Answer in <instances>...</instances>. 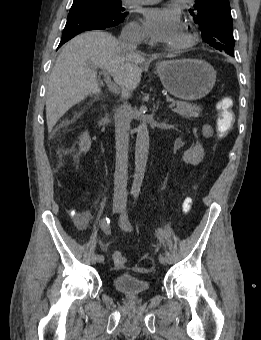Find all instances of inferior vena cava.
I'll use <instances>...</instances> for the list:
<instances>
[{
    "label": "inferior vena cava",
    "instance_id": "602c4592",
    "mask_svg": "<svg viewBox=\"0 0 261 340\" xmlns=\"http://www.w3.org/2000/svg\"><path fill=\"white\" fill-rule=\"evenodd\" d=\"M141 42V36L130 30L122 31L119 43L124 51H134ZM128 95L122 90V99ZM130 129V105L124 101L115 111L116 166L114 174V198L126 199L128 174V143Z\"/></svg>",
    "mask_w": 261,
    "mask_h": 340
}]
</instances>
